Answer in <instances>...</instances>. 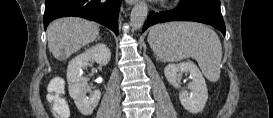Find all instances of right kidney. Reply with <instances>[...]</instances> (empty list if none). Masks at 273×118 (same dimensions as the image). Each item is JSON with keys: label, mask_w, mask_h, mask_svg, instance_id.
I'll return each mask as SVG.
<instances>
[{"label": "right kidney", "mask_w": 273, "mask_h": 118, "mask_svg": "<svg viewBox=\"0 0 273 118\" xmlns=\"http://www.w3.org/2000/svg\"><path fill=\"white\" fill-rule=\"evenodd\" d=\"M111 58V52L105 44H97L84 53L73 58L67 68V81L69 94L74 99L79 111L90 115L97 107L101 92L94 90L87 97V78L83 76L82 69L88 66L89 61L94 60L102 65H107Z\"/></svg>", "instance_id": "obj_1"}]
</instances>
